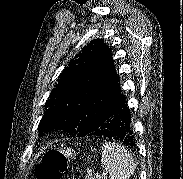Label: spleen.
Wrapping results in <instances>:
<instances>
[{
    "label": "spleen",
    "mask_w": 183,
    "mask_h": 179,
    "mask_svg": "<svg viewBox=\"0 0 183 179\" xmlns=\"http://www.w3.org/2000/svg\"><path fill=\"white\" fill-rule=\"evenodd\" d=\"M101 152V165L109 172V179H129L134 173V159L124 147L105 142Z\"/></svg>",
    "instance_id": "obj_1"
}]
</instances>
